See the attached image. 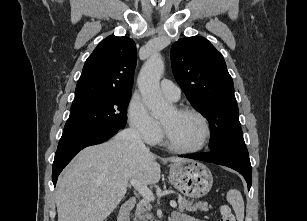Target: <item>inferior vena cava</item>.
Wrapping results in <instances>:
<instances>
[{"instance_id":"1","label":"inferior vena cava","mask_w":307,"mask_h":221,"mask_svg":"<svg viewBox=\"0 0 307 221\" xmlns=\"http://www.w3.org/2000/svg\"><path fill=\"white\" fill-rule=\"evenodd\" d=\"M116 139L130 142L132 145L137 146L143 150L146 149V146L143 143L139 132L134 128H128L119 132L116 136Z\"/></svg>"}]
</instances>
